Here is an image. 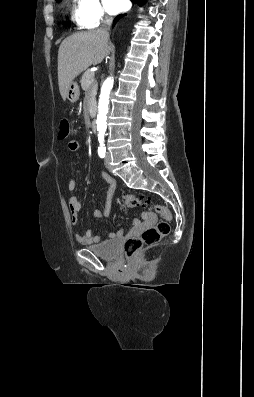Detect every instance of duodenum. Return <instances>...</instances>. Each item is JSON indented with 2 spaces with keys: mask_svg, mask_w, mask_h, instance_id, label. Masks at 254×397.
<instances>
[{
  "mask_svg": "<svg viewBox=\"0 0 254 397\" xmlns=\"http://www.w3.org/2000/svg\"><path fill=\"white\" fill-rule=\"evenodd\" d=\"M90 128H91V130H92L93 132H96V130H97V122H96V119H93V120L91 121Z\"/></svg>",
  "mask_w": 254,
  "mask_h": 397,
  "instance_id": "1",
  "label": "duodenum"
}]
</instances>
